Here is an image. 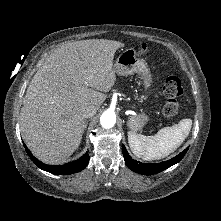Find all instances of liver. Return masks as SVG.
Listing matches in <instances>:
<instances>
[{"mask_svg":"<svg viewBox=\"0 0 221 221\" xmlns=\"http://www.w3.org/2000/svg\"><path fill=\"white\" fill-rule=\"evenodd\" d=\"M124 43L106 39L63 44L31 80L20 113L23 139L35 157L60 164L81 143L86 105L100 108L116 83L114 54Z\"/></svg>","mask_w":221,"mask_h":221,"instance_id":"liver-1","label":"liver"}]
</instances>
